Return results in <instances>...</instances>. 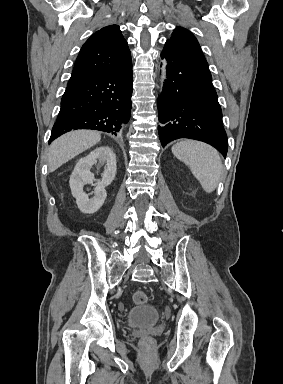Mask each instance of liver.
I'll list each match as a JSON object with an SVG mask.
<instances>
[{
  "label": "liver",
  "instance_id": "liver-1",
  "mask_svg": "<svg viewBox=\"0 0 283 384\" xmlns=\"http://www.w3.org/2000/svg\"><path fill=\"white\" fill-rule=\"evenodd\" d=\"M100 140V132H92V130H75V132L63 134L52 142L48 150L49 172H55L62 164H66L78 154L92 148Z\"/></svg>",
  "mask_w": 283,
  "mask_h": 384
}]
</instances>
